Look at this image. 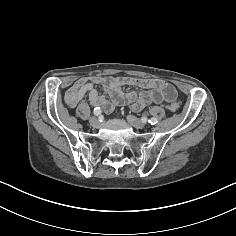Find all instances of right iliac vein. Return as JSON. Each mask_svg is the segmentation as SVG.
<instances>
[{"label": "right iliac vein", "mask_w": 236, "mask_h": 236, "mask_svg": "<svg viewBox=\"0 0 236 236\" xmlns=\"http://www.w3.org/2000/svg\"><path fill=\"white\" fill-rule=\"evenodd\" d=\"M89 123L90 125H92L93 127H98L100 125L99 120L96 117H91L89 119Z\"/></svg>", "instance_id": "1"}]
</instances>
